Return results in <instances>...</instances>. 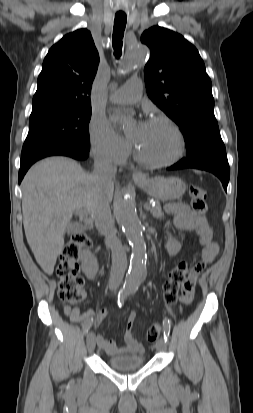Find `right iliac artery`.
Segmentation results:
<instances>
[{"mask_svg":"<svg viewBox=\"0 0 253 413\" xmlns=\"http://www.w3.org/2000/svg\"><path fill=\"white\" fill-rule=\"evenodd\" d=\"M128 295V291L126 290H121L118 294V305L119 307L122 306V304L124 303V299L126 298V296ZM91 325H87L86 327L83 328L84 333L87 334L89 329H90Z\"/></svg>","mask_w":253,"mask_h":413,"instance_id":"obj_1","label":"right iliac artery"}]
</instances>
